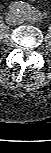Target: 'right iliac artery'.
<instances>
[{"label":"right iliac artery","mask_w":51,"mask_h":153,"mask_svg":"<svg viewBox=\"0 0 51 153\" xmlns=\"http://www.w3.org/2000/svg\"><path fill=\"white\" fill-rule=\"evenodd\" d=\"M30 5L22 2V1H17V2H13L11 3V5L9 6V8L13 11H18V12H23V13H27L29 10Z\"/></svg>","instance_id":"1"}]
</instances>
